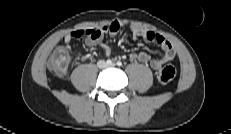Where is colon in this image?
Wrapping results in <instances>:
<instances>
[{"instance_id":"obj_1","label":"colon","mask_w":231,"mask_h":134,"mask_svg":"<svg viewBox=\"0 0 231 134\" xmlns=\"http://www.w3.org/2000/svg\"><path fill=\"white\" fill-rule=\"evenodd\" d=\"M70 62L69 52L64 47L56 48L51 54L48 67L56 74L62 75L66 72ZM176 77V69L173 66L164 67L159 73L161 83H170Z\"/></svg>"}]
</instances>
